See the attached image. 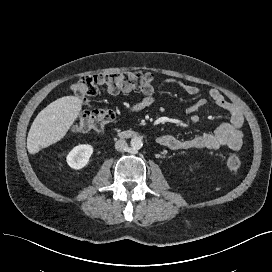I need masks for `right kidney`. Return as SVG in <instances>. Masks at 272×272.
<instances>
[{
    "mask_svg": "<svg viewBox=\"0 0 272 272\" xmlns=\"http://www.w3.org/2000/svg\"><path fill=\"white\" fill-rule=\"evenodd\" d=\"M92 154L93 147L91 145L81 144L69 152L66 161L71 168L82 169L87 165Z\"/></svg>",
    "mask_w": 272,
    "mask_h": 272,
    "instance_id": "right-kidney-1",
    "label": "right kidney"
}]
</instances>
